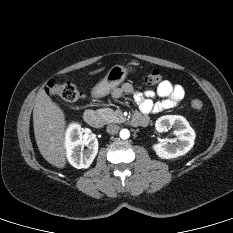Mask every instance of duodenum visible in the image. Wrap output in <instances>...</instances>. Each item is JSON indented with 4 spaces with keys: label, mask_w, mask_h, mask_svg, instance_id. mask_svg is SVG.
<instances>
[{
    "label": "duodenum",
    "mask_w": 233,
    "mask_h": 233,
    "mask_svg": "<svg viewBox=\"0 0 233 233\" xmlns=\"http://www.w3.org/2000/svg\"><path fill=\"white\" fill-rule=\"evenodd\" d=\"M83 120L89 124L92 127H101L103 124V121L101 119V117L99 116V114L97 112H95L94 110H86L83 114ZM137 123L139 125H143V123H145L144 120L142 119H138Z\"/></svg>",
    "instance_id": "duodenum-1"
}]
</instances>
